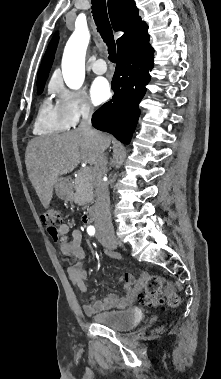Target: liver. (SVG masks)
Returning <instances> with one entry per match:
<instances>
[{
  "label": "liver",
  "instance_id": "liver-1",
  "mask_svg": "<svg viewBox=\"0 0 221 379\" xmlns=\"http://www.w3.org/2000/svg\"><path fill=\"white\" fill-rule=\"evenodd\" d=\"M110 142L105 134L78 129L29 141L25 153L27 173L43 207L48 208L59 176L72 172L81 161L95 165Z\"/></svg>",
  "mask_w": 221,
  "mask_h": 379
}]
</instances>
